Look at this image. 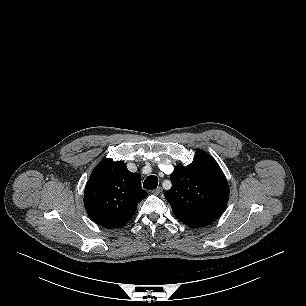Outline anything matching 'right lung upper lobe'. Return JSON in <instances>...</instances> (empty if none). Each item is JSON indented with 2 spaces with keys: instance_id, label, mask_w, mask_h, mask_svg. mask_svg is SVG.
<instances>
[{
  "instance_id": "obj_1",
  "label": "right lung upper lobe",
  "mask_w": 306,
  "mask_h": 306,
  "mask_svg": "<svg viewBox=\"0 0 306 306\" xmlns=\"http://www.w3.org/2000/svg\"><path fill=\"white\" fill-rule=\"evenodd\" d=\"M147 196L141 176L130 172L122 161H102L91 173L84 192L90 218L106 228H120L134 215L137 205Z\"/></svg>"
}]
</instances>
